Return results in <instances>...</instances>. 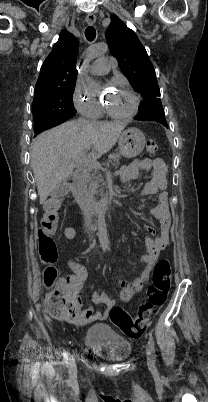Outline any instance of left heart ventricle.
<instances>
[{"instance_id":"1","label":"left heart ventricle","mask_w":208,"mask_h":402,"mask_svg":"<svg viewBox=\"0 0 208 402\" xmlns=\"http://www.w3.org/2000/svg\"><path fill=\"white\" fill-rule=\"evenodd\" d=\"M95 95H98V86H96ZM105 100L115 111L120 113H127L131 111L134 106L133 97L123 90H119L118 93L105 98Z\"/></svg>"}]
</instances>
